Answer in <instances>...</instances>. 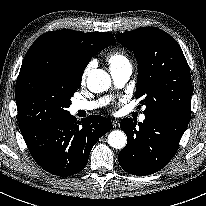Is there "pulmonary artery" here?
Returning <instances> with one entry per match:
<instances>
[{
  "label": "pulmonary artery",
  "mask_w": 206,
  "mask_h": 206,
  "mask_svg": "<svg viewBox=\"0 0 206 206\" xmlns=\"http://www.w3.org/2000/svg\"><path fill=\"white\" fill-rule=\"evenodd\" d=\"M110 74L113 82L116 86H123L132 75V67L130 64H123L115 68L110 69ZM104 103L103 99L96 101H83L76 100L73 102L72 107L75 111L85 110L92 111L101 106ZM139 120L142 122L145 120V115H140Z\"/></svg>",
  "instance_id": "obj_1"
}]
</instances>
